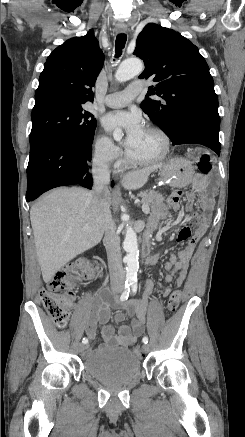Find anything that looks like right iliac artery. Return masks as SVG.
Listing matches in <instances>:
<instances>
[{
  "instance_id": "82829eb1",
  "label": "right iliac artery",
  "mask_w": 245,
  "mask_h": 437,
  "mask_svg": "<svg viewBox=\"0 0 245 437\" xmlns=\"http://www.w3.org/2000/svg\"><path fill=\"white\" fill-rule=\"evenodd\" d=\"M129 292H130V284L126 283L125 284V289H124L123 293L120 296V300L121 301L127 300L128 296H129ZM82 343L87 344L88 343V339L87 338H83Z\"/></svg>"
}]
</instances>
